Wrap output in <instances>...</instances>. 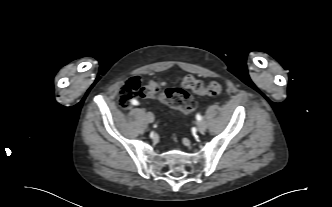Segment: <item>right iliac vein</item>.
Wrapping results in <instances>:
<instances>
[{"label": "right iliac vein", "instance_id": "63e3f726", "mask_svg": "<svg viewBox=\"0 0 332 207\" xmlns=\"http://www.w3.org/2000/svg\"><path fill=\"white\" fill-rule=\"evenodd\" d=\"M146 119L149 123H153L154 122V115L152 112H147L146 113Z\"/></svg>", "mask_w": 332, "mask_h": 207}]
</instances>
